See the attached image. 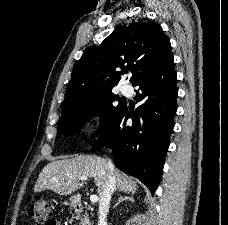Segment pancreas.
<instances>
[{"label": "pancreas", "mask_w": 228, "mask_h": 225, "mask_svg": "<svg viewBox=\"0 0 228 225\" xmlns=\"http://www.w3.org/2000/svg\"><path fill=\"white\" fill-rule=\"evenodd\" d=\"M81 219V225H92L90 217L88 215H83V217H79Z\"/></svg>", "instance_id": "pancreas-1"}]
</instances>
